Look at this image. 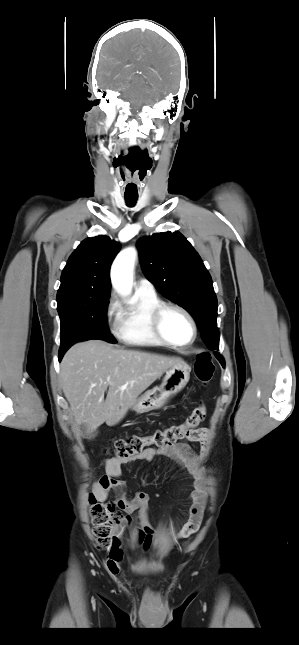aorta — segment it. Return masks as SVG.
<instances>
[{"label":"aorta","instance_id":"aorta-1","mask_svg":"<svg viewBox=\"0 0 299 645\" xmlns=\"http://www.w3.org/2000/svg\"><path fill=\"white\" fill-rule=\"evenodd\" d=\"M135 257V249L127 248L120 252L113 262L111 268L112 284L122 294H129L131 291Z\"/></svg>","mask_w":299,"mask_h":645}]
</instances>
